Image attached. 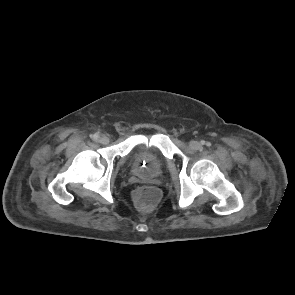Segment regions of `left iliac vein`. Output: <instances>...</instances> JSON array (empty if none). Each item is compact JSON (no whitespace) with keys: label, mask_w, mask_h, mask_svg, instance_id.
<instances>
[{"label":"left iliac vein","mask_w":295,"mask_h":295,"mask_svg":"<svg viewBox=\"0 0 295 295\" xmlns=\"http://www.w3.org/2000/svg\"><path fill=\"white\" fill-rule=\"evenodd\" d=\"M189 146L191 149L197 150L201 147V144L198 141L192 140L189 142Z\"/></svg>","instance_id":"obj_1"}]
</instances>
